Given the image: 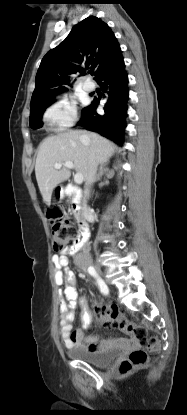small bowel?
Listing matches in <instances>:
<instances>
[{
  "mask_svg": "<svg viewBox=\"0 0 187 415\" xmlns=\"http://www.w3.org/2000/svg\"><path fill=\"white\" fill-rule=\"evenodd\" d=\"M73 249L59 252L53 257V263L58 269L55 272V283L64 286L63 293L59 294V307L61 311L60 331L62 340L67 348L79 347L88 351H99L107 348L112 341L99 340L94 335H86L87 329L92 323V313L85 298L80 297L75 284L76 279L68 266V252ZM81 307L82 328L73 330L72 321L75 316V309Z\"/></svg>",
  "mask_w": 187,
  "mask_h": 415,
  "instance_id": "small-bowel-1",
  "label": "small bowel"
}]
</instances>
